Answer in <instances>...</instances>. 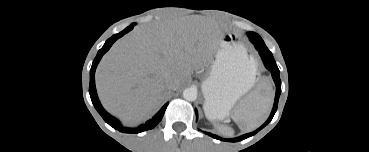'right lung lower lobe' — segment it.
Instances as JSON below:
<instances>
[{"instance_id": "right-lung-lower-lobe-1", "label": "right lung lower lobe", "mask_w": 369, "mask_h": 152, "mask_svg": "<svg viewBox=\"0 0 369 152\" xmlns=\"http://www.w3.org/2000/svg\"><path fill=\"white\" fill-rule=\"evenodd\" d=\"M135 25V23L131 24L129 27H127L126 29H124L122 32L113 35L111 38H109L104 46L98 51L96 58L93 61L91 70H90V86H89V93H90V97L92 100L93 105L95 106L96 110L99 112V114L102 116V118L110 125L112 126L114 129L119 130L121 132H126V133H140L149 129L154 128L162 119L164 112L167 108L168 103H166L161 110L149 121H147L145 124L137 127V128H127L121 125V123L114 118L113 116H111L109 113H107L104 108L102 107V105L100 104V101L98 99L97 93H96V87H95V70L96 67L100 61V59L102 58V56L104 55V53L106 51L109 50V48L111 47V45L121 36H123L124 34H126L127 32H129L130 30L133 29V26Z\"/></svg>"}]
</instances>
